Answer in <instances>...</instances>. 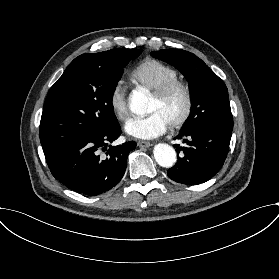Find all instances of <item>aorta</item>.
Wrapping results in <instances>:
<instances>
[{"label": "aorta", "mask_w": 279, "mask_h": 279, "mask_svg": "<svg viewBox=\"0 0 279 279\" xmlns=\"http://www.w3.org/2000/svg\"><path fill=\"white\" fill-rule=\"evenodd\" d=\"M130 110L137 115H144L148 111V97L142 91H135L130 97ZM156 162L166 168H170L176 162L175 149L165 143H159L154 147Z\"/></svg>", "instance_id": "762f6f07"}]
</instances>
